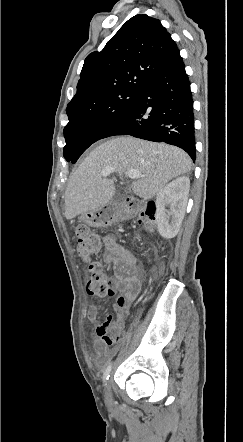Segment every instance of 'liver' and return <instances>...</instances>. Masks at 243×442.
<instances>
[{
    "label": "liver",
    "instance_id": "obj_1",
    "mask_svg": "<svg viewBox=\"0 0 243 442\" xmlns=\"http://www.w3.org/2000/svg\"><path fill=\"white\" fill-rule=\"evenodd\" d=\"M113 167L122 175L137 170L134 193L152 199L173 178L192 168L189 155L178 147L134 137H117L96 147L72 173L65 192V217L70 220L107 205L115 194L113 180L101 172Z\"/></svg>",
    "mask_w": 243,
    "mask_h": 442
}]
</instances>
